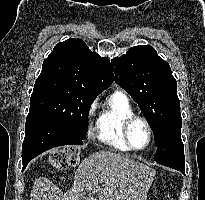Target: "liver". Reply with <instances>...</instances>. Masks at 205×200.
I'll use <instances>...</instances> for the list:
<instances>
[{
    "label": "liver",
    "instance_id": "obj_1",
    "mask_svg": "<svg viewBox=\"0 0 205 200\" xmlns=\"http://www.w3.org/2000/svg\"><path fill=\"white\" fill-rule=\"evenodd\" d=\"M155 170L113 150H99L86 157L76 170L71 189L65 193L52 181H34L31 200H79L83 191L98 200H145Z\"/></svg>",
    "mask_w": 205,
    "mask_h": 200
}]
</instances>
